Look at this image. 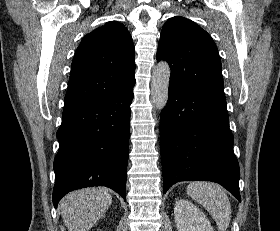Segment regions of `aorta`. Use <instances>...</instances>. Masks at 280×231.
Segmentation results:
<instances>
[{"instance_id": "1", "label": "aorta", "mask_w": 280, "mask_h": 231, "mask_svg": "<svg viewBox=\"0 0 280 231\" xmlns=\"http://www.w3.org/2000/svg\"><path fill=\"white\" fill-rule=\"evenodd\" d=\"M171 70L167 62H159L152 72L151 100L156 110L161 112L168 100V88Z\"/></svg>"}]
</instances>
